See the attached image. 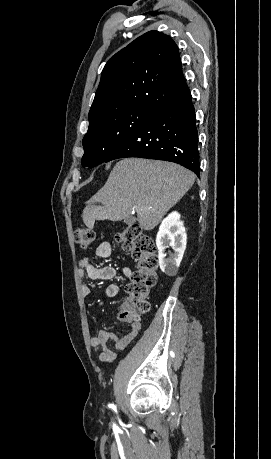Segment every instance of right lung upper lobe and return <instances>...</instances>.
Returning <instances> with one entry per match:
<instances>
[{
  "label": "right lung upper lobe",
  "mask_w": 271,
  "mask_h": 459,
  "mask_svg": "<svg viewBox=\"0 0 271 459\" xmlns=\"http://www.w3.org/2000/svg\"><path fill=\"white\" fill-rule=\"evenodd\" d=\"M185 87L175 42L163 33L147 32L105 65L89 121L136 106L156 110Z\"/></svg>",
  "instance_id": "1"
}]
</instances>
